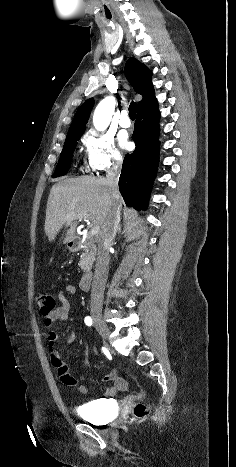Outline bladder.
Instances as JSON below:
<instances>
[{
	"mask_svg": "<svg viewBox=\"0 0 236 467\" xmlns=\"http://www.w3.org/2000/svg\"><path fill=\"white\" fill-rule=\"evenodd\" d=\"M113 410L111 399H95L82 405L77 412L87 421L103 424L113 415Z\"/></svg>",
	"mask_w": 236,
	"mask_h": 467,
	"instance_id": "31cf9c89",
	"label": "bladder"
}]
</instances>
